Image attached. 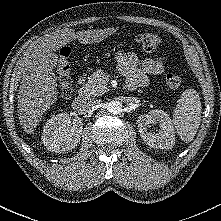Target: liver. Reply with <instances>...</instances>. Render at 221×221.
I'll return each mask as SVG.
<instances>
[{
	"label": "liver",
	"mask_w": 221,
	"mask_h": 221,
	"mask_svg": "<svg viewBox=\"0 0 221 221\" xmlns=\"http://www.w3.org/2000/svg\"><path fill=\"white\" fill-rule=\"evenodd\" d=\"M116 28L82 30L66 28L44 36L22 63L23 76L18 93V116L24 131L32 134L42 115L57 100V77L53 72L58 56L54 53L74 39L82 44L98 43Z\"/></svg>",
	"instance_id": "liver-1"
}]
</instances>
